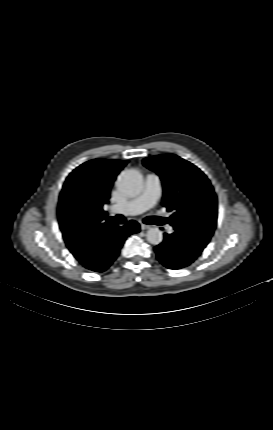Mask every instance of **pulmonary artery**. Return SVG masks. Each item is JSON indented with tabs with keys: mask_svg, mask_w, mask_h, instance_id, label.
<instances>
[{
	"mask_svg": "<svg viewBox=\"0 0 273 430\" xmlns=\"http://www.w3.org/2000/svg\"><path fill=\"white\" fill-rule=\"evenodd\" d=\"M160 196L161 180L159 176L149 174L146 177L145 188L138 197L126 203L116 204L111 209L125 215H137L154 206ZM167 230L169 233L173 232L172 227H168Z\"/></svg>",
	"mask_w": 273,
	"mask_h": 430,
	"instance_id": "e3ab8cb5",
	"label": "pulmonary artery"
}]
</instances>
